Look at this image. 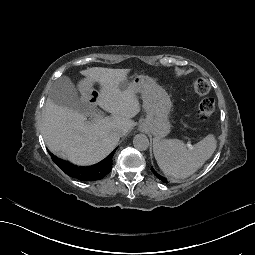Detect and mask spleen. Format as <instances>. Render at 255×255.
<instances>
[{
	"label": "spleen",
	"instance_id": "obj_1",
	"mask_svg": "<svg viewBox=\"0 0 255 255\" xmlns=\"http://www.w3.org/2000/svg\"><path fill=\"white\" fill-rule=\"evenodd\" d=\"M217 147L213 134L186 148L178 139H162L157 136L153 140V152L160 169L165 175L175 179H185L194 174L212 156Z\"/></svg>",
	"mask_w": 255,
	"mask_h": 255
}]
</instances>
